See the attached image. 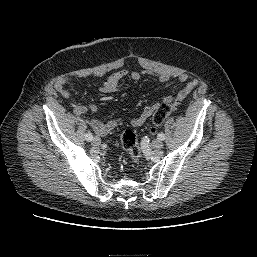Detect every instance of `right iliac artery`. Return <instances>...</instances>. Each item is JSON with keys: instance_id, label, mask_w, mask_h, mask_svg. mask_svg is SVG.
<instances>
[{"instance_id": "1", "label": "right iliac artery", "mask_w": 257, "mask_h": 257, "mask_svg": "<svg viewBox=\"0 0 257 257\" xmlns=\"http://www.w3.org/2000/svg\"><path fill=\"white\" fill-rule=\"evenodd\" d=\"M85 140L86 141H92L93 140V134L88 132L86 135H85Z\"/></svg>"}]
</instances>
